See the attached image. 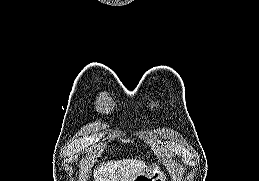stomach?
Returning a JSON list of instances; mask_svg holds the SVG:
<instances>
[{
  "label": "stomach",
  "mask_w": 259,
  "mask_h": 181,
  "mask_svg": "<svg viewBox=\"0 0 259 181\" xmlns=\"http://www.w3.org/2000/svg\"><path fill=\"white\" fill-rule=\"evenodd\" d=\"M133 181H165V177L158 168L138 174Z\"/></svg>",
  "instance_id": "stomach-1"
}]
</instances>
